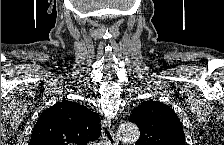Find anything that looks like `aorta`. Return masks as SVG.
<instances>
[{"mask_svg": "<svg viewBox=\"0 0 224 145\" xmlns=\"http://www.w3.org/2000/svg\"><path fill=\"white\" fill-rule=\"evenodd\" d=\"M118 136L124 143L133 144L139 139L140 132L134 123L126 122L120 125Z\"/></svg>", "mask_w": 224, "mask_h": 145, "instance_id": "obj_1", "label": "aorta"}]
</instances>
